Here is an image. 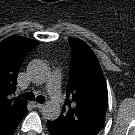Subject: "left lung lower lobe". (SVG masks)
<instances>
[{"mask_svg": "<svg viewBox=\"0 0 135 135\" xmlns=\"http://www.w3.org/2000/svg\"><path fill=\"white\" fill-rule=\"evenodd\" d=\"M47 123H48V129H49L50 135H71L65 130L56 126L53 121H48Z\"/></svg>", "mask_w": 135, "mask_h": 135, "instance_id": "obj_1", "label": "left lung lower lobe"}]
</instances>
